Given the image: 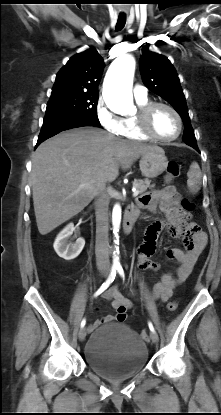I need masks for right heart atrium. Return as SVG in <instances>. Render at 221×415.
Here are the masks:
<instances>
[{
	"instance_id": "right-heart-atrium-1",
	"label": "right heart atrium",
	"mask_w": 221,
	"mask_h": 415,
	"mask_svg": "<svg viewBox=\"0 0 221 415\" xmlns=\"http://www.w3.org/2000/svg\"><path fill=\"white\" fill-rule=\"evenodd\" d=\"M96 116L100 125L107 132L114 135H121L123 118L112 112L102 99L96 105Z\"/></svg>"
}]
</instances>
